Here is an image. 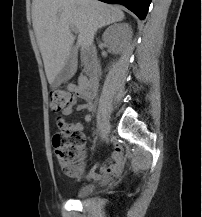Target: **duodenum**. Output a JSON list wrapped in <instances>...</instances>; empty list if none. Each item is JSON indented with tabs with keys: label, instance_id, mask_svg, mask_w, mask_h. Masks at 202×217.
I'll use <instances>...</instances> for the list:
<instances>
[{
	"label": "duodenum",
	"instance_id": "1",
	"mask_svg": "<svg viewBox=\"0 0 202 217\" xmlns=\"http://www.w3.org/2000/svg\"><path fill=\"white\" fill-rule=\"evenodd\" d=\"M92 47H87L85 50V61L89 63V73L90 78L89 79H83L82 85L84 89L89 93H95L96 92V76L98 75V70L95 65L92 64L90 61V50Z\"/></svg>",
	"mask_w": 202,
	"mask_h": 217
}]
</instances>
